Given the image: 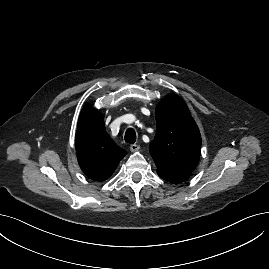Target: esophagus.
Wrapping results in <instances>:
<instances>
[{"mask_svg":"<svg viewBox=\"0 0 269 269\" xmlns=\"http://www.w3.org/2000/svg\"><path fill=\"white\" fill-rule=\"evenodd\" d=\"M139 149H140V146L137 145V144H132V145H130V150H131L132 152H136V151H138Z\"/></svg>","mask_w":269,"mask_h":269,"instance_id":"1","label":"esophagus"}]
</instances>
